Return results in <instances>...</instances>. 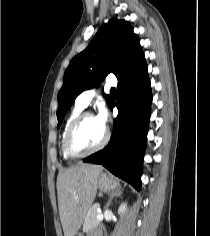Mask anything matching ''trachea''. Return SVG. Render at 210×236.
Here are the masks:
<instances>
[{"instance_id": "3493384b", "label": "trachea", "mask_w": 210, "mask_h": 236, "mask_svg": "<svg viewBox=\"0 0 210 236\" xmlns=\"http://www.w3.org/2000/svg\"><path fill=\"white\" fill-rule=\"evenodd\" d=\"M111 92H116V89H115V88H112V89H111Z\"/></svg>"}]
</instances>
